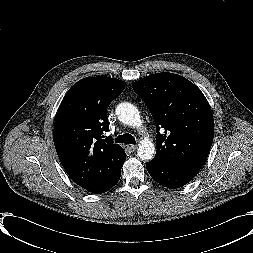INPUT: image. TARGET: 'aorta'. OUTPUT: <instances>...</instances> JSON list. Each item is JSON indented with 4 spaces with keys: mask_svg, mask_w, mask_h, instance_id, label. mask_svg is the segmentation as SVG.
<instances>
[{
    "mask_svg": "<svg viewBox=\"0 0 253 253\" xmlns=\"http://www.w3.org/2000/svg\"><path fill=\"white\" fill-rule=\"evenodd\" d=\"M118 119L131 127L138 128L142 125L138 109L131 103H120L116 108ZM138 156L141 160H152L155 155V146L149 140H144L138 147Z\"/></svg>",
    "mask_w": 253,
    "mask_h": 253,
    "instance_id": "1",
    "label": "aorta"
}]
</instances>
